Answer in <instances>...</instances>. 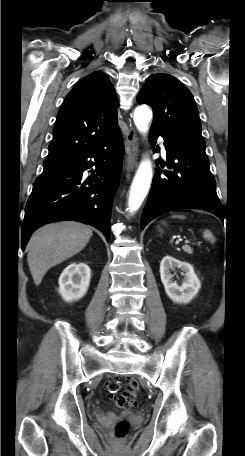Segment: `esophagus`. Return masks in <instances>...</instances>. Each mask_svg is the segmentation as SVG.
<instances>
[{"mask_svg": "<svg viewBox=\"0 0 245 456\" xmlns=\"http://www.w3.org/2000/svg\"><path fill=\"white\" fill-rule=\"evenodd\" d=\"M126 163L127 168L132 169L137 164V155H138V138L136 131L133 127H129L126 133Z\"/></svg>", "mask_w": 245, "mask_h": 456, "instance_id": "1", "label": "esophagus"}]
</instances>
